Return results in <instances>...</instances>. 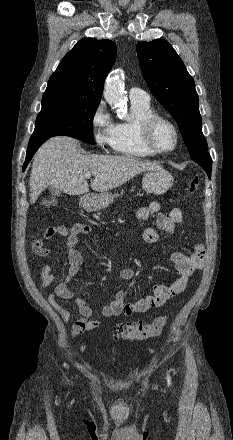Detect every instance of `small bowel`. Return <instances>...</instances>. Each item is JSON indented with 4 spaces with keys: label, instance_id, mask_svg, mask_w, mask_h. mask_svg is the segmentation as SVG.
<instances>
[{
    "label": "small bowel",
    "instance_id": "small-bowel-1",
    "mask_svg": "<svg viewBox=\"0 0 233 440\" xmlns=\"http://www.w3.org/2000/svg\"><path fill=\"white\" fill-rule=\"evenodd\" d=\"M151 215H155L157 228L162 229L169 234H173L176 226L183 220V214L179 208H173L168 214H164L161 212V205L156 201L151 202L147 207L138 209L136 212V217L141 220H146ZM90 232L91 226L84 223H76L71 227H66L64 225L53 226L47 228L42 236L34 240L32 243L34 253L38 256L46 257L50 253V248L46 244V241L57 237L66 238V247L70 262L69 271L65 281L59 283L55 287V290L49 296L48 301L59 313L63 322L70 321L71 313L58 302V299L74 302L78 308L80 318L72 324V336L95 330L101 326L99 321L91 319L93 311L87 305L86 301L82 298L75 297L68 287V283L76 279L85 261V257L76 247L79 236L89 234ZM143 238L147 243L153 244L159 241L160 235L155 228L149 226L145 228ZM171 261L178 273L177 279L172 284L168 286L160 284L155 285L153 288V295L130 303L124 301L125 292L118 290L114 293L113 298L109 303L101 308L100 314L104 317L119 315L130 316L133 314L145 313L150 309L162 307L169 299L182 293L194 271L199 270L204 266L205 248L203 244L199 243L195 245V251L192 254L181 249L176 250L171 254ZM134 275L135 272L133 269L125 268L116 275L115 279L117 281L130 280ZM55 279L56 276L53 273L51 265H44L41 270V287L46 289L55 281Z\"/></svg>",
    "mask_w": 233,
    "mask_h": 440
}]
</instances>
